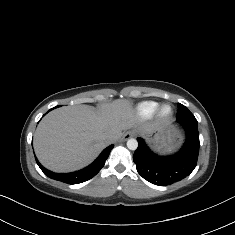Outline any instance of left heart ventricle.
<instances>
[{
  "mask_svg": "<svg viewBox=\"0 0 235 235\" xmlns=\"http://www.w3.org/2000/svg\"><path fill=\"white\" fill-rule=\"evenodd\" d=\"M171 113V107L170 106H166L164 109H163V114L164 115H170Z\"/></svg>",
  "mask_w": 235,
  "mask_h": 235,
  "instance_id": "obj_1",
  "label": "left heart ventricle"
}]
</instances>
